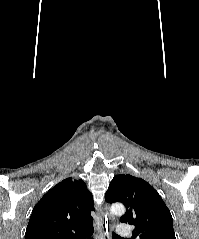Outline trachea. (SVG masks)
<instances>
[{
	"mask_svg": "<svg viewBox=\"0 0 199 239\" xmlns=\"http://www.w3.org/2000/svg\"><path fill=\"white\" fill-rule=\"evenodd\" d=\"M112 235H113V239H122L121 237H119L116 233H112Z\"/></svg>",
	"mask_w": 199,
	"mask_h": 239,
	"instance_id": "1",
	"label": "trachea"
}]
</instances>
